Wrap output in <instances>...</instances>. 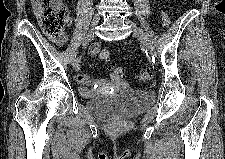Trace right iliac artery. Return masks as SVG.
Listing matches in <instances>:
<instances>
[{
	"mask_svg": "<svg viewBox=\"0 0 225 159\" xmlns=\"http://www.w3.org/2000/svg\"><path fill=\"white\" fill-rule=\"evenodd\" d=\"M93 36H94V33L92 34H88L85 38H84V40H83V46H87L91 41H92V39H93ZM76 55H77V53H75L74 55H73V57H72V59H71V61L73 62L75 59H76Z\"/></svg>",
	"mask_w": 225,
	"mask_h": 159,
	"instance_id": "obj_1",
	"label": "right iliac artery"
}]
</instances>
